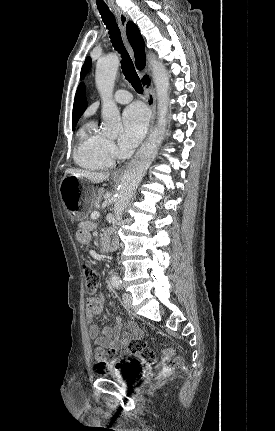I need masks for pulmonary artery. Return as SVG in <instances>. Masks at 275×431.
I'll return each mask as SVG.
<instances>
[{
    "label": "pulmonary artery",
    "mask_w": 275,
    "mask_h": 431,
    "mask_svg": "<svg viewBox=\"0 0 275 431\" xmlns=\"http://www.w3.org/2000/svg\"><path fill=\"white\" fill-rule=\"evenodd\" d=\"M132 100V95L129 91L120 89L114 94V101L120 104L129 103Z\"/></svg>",
    "instance_id": "e3ab8cb5"
}]
</instances>
